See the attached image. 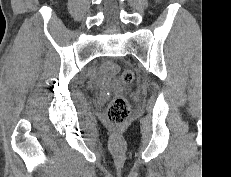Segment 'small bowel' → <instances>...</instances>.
Masks as SVG:
<instances>
[{"mask_svg":"<svg viewBox=\"0 0 231 177\" xmlns=\"http://www.w3.org/2000/svg\"><path fill=\"white\" fill-rule=\"evenodd\" d=\"M118 66L112 62H106L102 67L101 74L98 78V85L105 89L111 83V77L118 72ZM114 86H117L116 81L113 83Z\"/></svg>","mask_w":231,"mask_h":177,"instance_id":"small-bowel-1","label":"small bowel"}]
</instances>
